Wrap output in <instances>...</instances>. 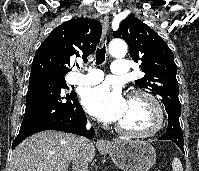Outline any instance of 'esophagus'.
Wrapping results in <instances>:
<instances>
[{
    "mask_svg": "<svg viewBox=\"0 0 199 171\" xmlns=\"http://www.w3.org/2000/svg\"><path fill=\"white\" fill-rule=\"evenodd\" d=\"M102 26H103V41L106 38L108 29H109V18L108 16H104V18L102 19ZM111 143L108 140H104V139H99L97 141V145L100 147H106L109 146Z\"/></svg>",
    "mask_w": 199,
    "mask_h": 171,
    "instance_id": "esophagus-1",
    "label": "esophagus"
}]
</instances>
